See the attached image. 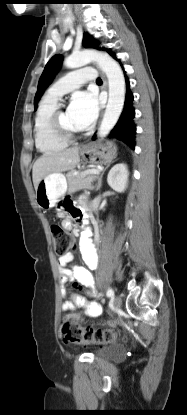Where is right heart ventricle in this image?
Returning <instances> with one entry per match:
<instances>
[{
  "label": "right heart ventricle",
  "instance_id": "right-heart-ventricle-1",
  "mask_svg": "<svg viewBox=\"0 0 187 415\" xmlns=\"http://www.w3.org/2000/svg\"><path fill=\"white\" fill-rule=\"evenodd\" d=\"M57 107V101L45 97L41 101L34 118L35 145L43 154L60 152L68 145L67 142L56 137L51 130V117Z\"/></svg>",
  "mask_w": 187,
  "mask_h": 415
}]
</instances>
